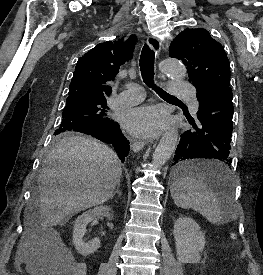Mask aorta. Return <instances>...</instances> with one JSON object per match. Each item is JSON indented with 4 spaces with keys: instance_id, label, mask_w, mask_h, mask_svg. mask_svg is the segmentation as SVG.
<instances>
[{
    "instance_id": "obj_1",
    "label": "aorta",
    "mask_w": 263,
    "mask_h": 275,
    "mask_svg": "<svg viewBox=\"0 0 263 275\" xmlns=\"http://www.w3.org/2000/svg\"><path fill=\"white\" fill-rule=\"evenodd\" d=\"M159 69L176 81H181L186 77L187 70L183 63L177 59H167L163 61ZM179 141L178 128L172 127L165 132L152 157V164L155 168L163 166L171 157Z\"/></svg>"
}]
</instances>
